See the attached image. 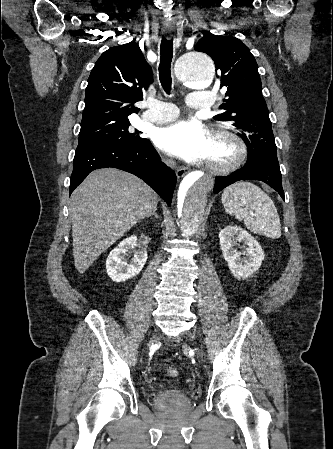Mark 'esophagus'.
Here are the masks:
<instances>
[{"label": "esophagus", "instance_id": "esophagus-1", "mask_svg": "<svg viewBox=\"0 0 333 449\" xmlns=\"http://www.w3.org/2000/svg\"><path fill=\"white\" fill-rule=\"evenodd\" d=\"M165 33H166L168 38H171L173 32H172L171 29H166ZM185 174H186V169L185 168H179L176 171L177 178H182V177L185 176Z\"/></svg>", "mask_w": 333, "mask_h": 449}]
</instances>
